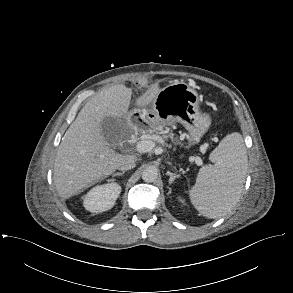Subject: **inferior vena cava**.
<instances>
[{"label":"inferior vena cava","instance_id":"inferior-vena-cava-1","mask_svg":"<svg viewBox=\"0 0 293 293\" xmlns=\"http://www.w3.org/2000/svg\"><path fill=\"white\" fill-rule=\"evenodd\" d=\"M136 166L135 164V158L133 156H126L124 162L119 166V170L126 171L134 168Z\"/></svg>","mask_w":293,"mask_h":293}]
</instances>
